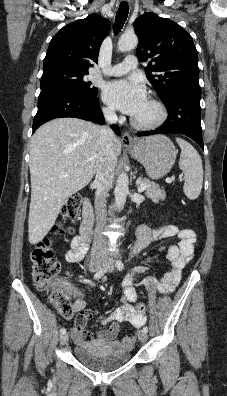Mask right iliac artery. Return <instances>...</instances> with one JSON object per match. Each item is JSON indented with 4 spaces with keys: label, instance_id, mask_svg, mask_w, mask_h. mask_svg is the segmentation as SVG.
Masks as SVG:
<instances>
[{
    "label": "right iliac artery",
    "instance_id": "obj_1",
    "mask_svg": "<svg viewBox=\"0 0 227 396\" xmlns=\"http://www.w3.org/2000/svg\"><path fill=\"white\" fill-rule=\"evenodd\" d=\"M105 273V270L101 269L99 271H97L94 275V279H100ZM66 332L65 328H61L60 333L63 334Z\"/></svg>",
    "mask_w": 227,
    "mask_h": 396
}]
</instances>
